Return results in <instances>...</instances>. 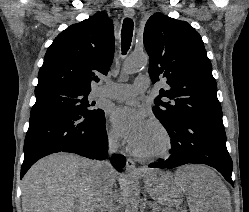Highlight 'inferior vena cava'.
Segmentation results:
<instances>
[{
	"instance_id": "1",
	"label": "inferior vena cava",
	"mask_w": 249,
	"mask_h": 212,
	"mask_svg": "<svg viewBox=\"0 0 249 212\" xmlns=\"http://www.w3.org/2000/svg\"><path fill=\"white\" fill-rule=\"evenodd\" d=\"M118 138H109L108 142V154H114L117 152L118 148ZM99 166V172L95 178V192L94 194L96 198V210L95 212H114V204L112 198V176H110V172H112L111 164L109 160H102V162H97Z\"/></svg>"
}]
</instances>
